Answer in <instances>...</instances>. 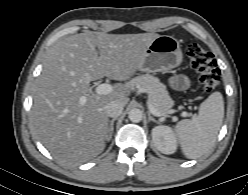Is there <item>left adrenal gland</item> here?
<instances>
[{
  "label": "left adrenal gland",
  "mask_w": 248,
  "mask_h": 195,
  "mask_svg": "<svg viewBox=\"0 0 248 195\" xmlns=\"http://www.w3.org/2000/svg\"><path fill=\"white\" fill-rule=\"evenodd\" d=\"M148 121H153V122L159 124V122L155 118H153L150 113H148Z\"/></svg>",
  "instance_id": "left-adrenal-gland-1"
}]
</instances>
